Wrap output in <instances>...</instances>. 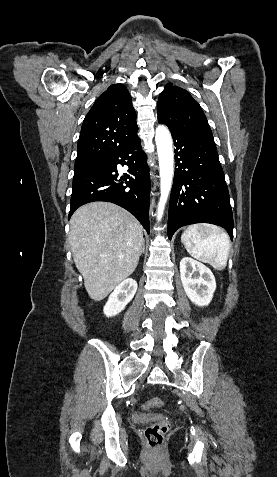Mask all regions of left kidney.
<instances>
[{"label": "left kidney", "mask_w": 277, "mask_h": 477, "mask_svg": "<svg viewBox=\"0 0 277 477\" xmlns=\"http://www.w3.org/2000/svg\"><path fill=\"white\" fill-rule=\"evenodd\" d=\"M180 276L191 302L200 307L207 306L211 302L216 281L209 268L190 257H184L180 261Z\"/></svg>", "instance_id": "1"}]
</instances>
